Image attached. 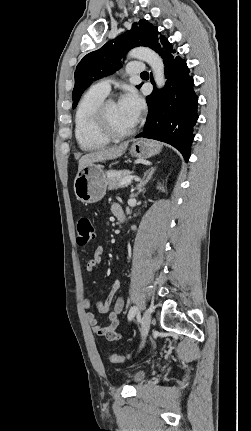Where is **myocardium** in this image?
<instances>
[{"label": "myocardium", "instance_id": "1", "mask_svg": "<svg viewBox=\"0 0 251 431\" xmlns=\"http://www.w3.org/2000/svg\"><path fill=\"white\" fill-rule=\"evenodd\" d=\"M115 102L113 98H105L98 106L95 113V128L97 132L103 137L114 140L122 139L132 135L137 127V122L128 130L117 131L115 130L108 118V107L111 103Z\"/></svg>", "mask_w": 251, "mask_h": 431}]
</instances>
